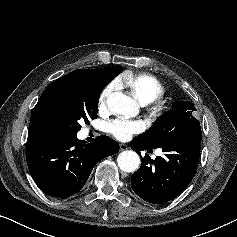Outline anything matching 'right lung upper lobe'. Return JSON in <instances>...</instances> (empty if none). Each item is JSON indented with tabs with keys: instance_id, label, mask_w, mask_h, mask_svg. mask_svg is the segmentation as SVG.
Returning <instances> with one entry per match:
<instances>
[{
	"instance_id": "right-lung-upper-lobe-1",
	"label": "right lung upper lobe",
	"mask_w": 237,
	"mask_h": 237,
	"mask_svg": "<svg viewBox=\"0 0 237 237\" xmlns=\"http://www.w3.org/2000/svg\"><path fill=\"white\" fill-rule=\"evenodd\" d=\"M59 85L89 91L94 87L91 69L74 70L48 85L34 108L29 124L28 137L39 133L52 132L48 109L52 91Z\"/></svg>"
}]
</instances>
